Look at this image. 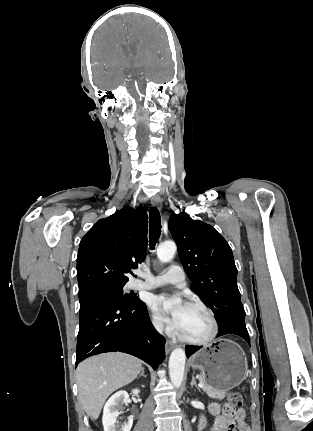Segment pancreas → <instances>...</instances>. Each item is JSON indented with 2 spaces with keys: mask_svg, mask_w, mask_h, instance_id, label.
Listing matches in <instances>:
<instances>
[{
  "mask_svg": "<svg viewBox=\"0 0 313 431\" xmlns=\"http://www.w3.org/2000/svg\"><path fill=\"white\" fill-rule=\"evenodd\" d=\"M200 380L202 381V378L200 377ZM204 392H206V394L213 399H223L225 398L226 395V391H222V390H216L208 385H206L204 383V387L202 388Z\"/></svg>",
  "mask_w": 313,
  "mask_h": 431,
  "instance_id": "obj_1",
  "label": "pancreas"
}]
</instances>
